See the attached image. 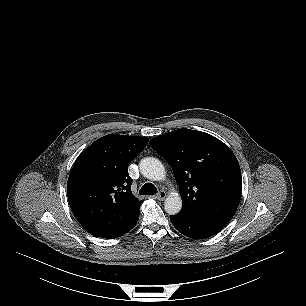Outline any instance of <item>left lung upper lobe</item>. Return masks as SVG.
I'll return each mask as SVG.
<instances>
[{
  "label": "left lung upper lobe",
  "mask_w": 306,
  "mask_h": 306,
  "mask_svg": "<svg viewBox=\"0 0 306 306\" xmlns=\"http://www.w3.org/2000/svg\"><path fill=\"white\" fill-rule=\"evenodd\" d=\"M172 167L183 206L180 213L227 224L241 195V171L231 149L210 134L179 129L150 141Z\"/></svg>",
  "instance_id": "obj_1"
}]
</instances>
